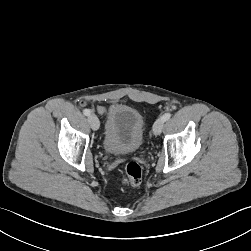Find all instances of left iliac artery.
I'll list each match as a JSON object with an SVG mask.
<instances>
[{
    "label": "left iliac artery",
    "instance_id": "44dca946",
    "mask_svg": "<svg viewBox=\"0 0 251 251\" xmlns=\"http://www.w3.org/2000/svg\"><path fill=\"white\" fill-rule=\"evenodd\" d=\"M171 117V114L170 113H165L161 118L164 120V121H167L168 119H170Z\"/></svg>",
    "mask_w": 251,
    "mask_h": 251
}]
</instances>
